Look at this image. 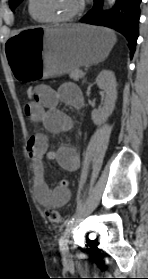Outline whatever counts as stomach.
I'll return each instance as SVG.
<instances>
[{
  "label": "stomach",
  "mask_w": 148,
  "mask_h": 279,
  "mask_svg": "<svg viewBox=\"0 0 148 279\" xmlns=\"http://www.w3.org/2000/svg\"><path fill=\"white\" fill-rule=\"evenodd\" d=\"M116 42L115 34L87 25L32 27L8 39L6 59L16 82H46L82 66L102 62Z\"/></svg>",
  "instance_id": "stomach-1"
}]
</instances>
